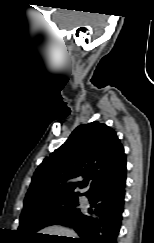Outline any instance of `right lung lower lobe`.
Here are the masks:
<instances>
[{
  "label": "right lung lower lobe",
  "instance_id": "98d812e1",
  "mask_svg": "<svg viewBox=\"0 0 154 243\" xmlns=\"http://www.w3.org/2000/svg\"><path fill=\"white\" fill-rule=\"evenodd\" d=\"M126 183V165L98 182L87 194L91 208L62 218L57 224L74 228L79 238L68 243H117Z\"/></svg>",
  "mask_w": 154,
  "mask_h": 243
}]
</instances>
